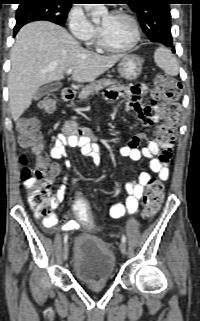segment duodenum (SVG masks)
Returning <instances> with one entry per match:
<instances>
[{"label":"duodenum","mask_w":200,"mask_h":321,"mask_svg":"<svg viewBox=\"0 0 200 321\" xmlns=\"http://www.w3.org/2000/svg\"><path fill=\"white\" fill-rule=\"evenodd\" d=\"M61 97L64 101H71L74 98V92L71 89L65 88L62 90Z\"/></svg>","instance_id":"410a0bca"}]
</instances>
